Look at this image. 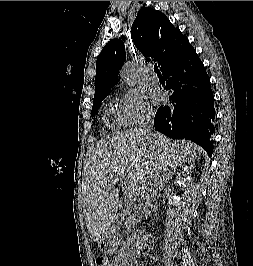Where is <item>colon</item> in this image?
<instances>
[{"instance_id": "colon-1", "label": "colon", "mask_w": 253, "mask_h": 266, "mask_svg": "<svg viewBox=\"0 0 253 266\" xmlns=\"http://www.w3.org/2000/svg\"><path fill=\"white\" fill-rule=\"evenodd\" d=\"M94 266H112V264L106 257L99 256L95 259Z\"/></svg>"}]
</instances>
